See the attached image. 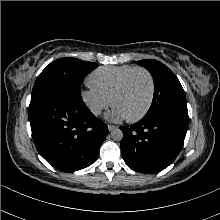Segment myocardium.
<instances>
[{"instance_id": "f54148a6", "label": "myocardium", "mask_w": 220, "mask_h": 220, "mask_svg": "<svg viewBox=\"0 0 220 220\" xmlns=\"http://www.w3.org/2000/svg\"><path fill=\"white\" fill-rule=\"evenodd\" d=\"M137 72H143L145 73L150 81V95H149V100L148 103L146 105V107L143 109V111L141 113H139L138 115L134 116V117H128L127 120L129 122H137L140 121L141 119H143L148 112L150 111L153 101H154V96H155V80L153 77V74L146 68L144 67H136L134 68L132 71H130L123 79L122 81L119 83V85L116 87V89L113 91L112 95H111V103L114 105V100L115 98L125 89L126 85L128 84V82L130 81V79L132 78V76L137 73Z\"/></svg>"}]
</instances>
